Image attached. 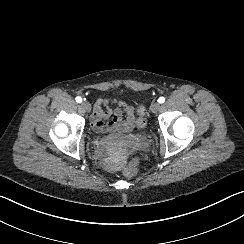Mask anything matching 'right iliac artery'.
<instances>
[{"label":"right iliac artery","mask_w":244,"mask_h":244,"mask_svg":"<svg viewBox=\"0 0 244 244\" xmlns=\"http://www.w3.org/2000/svg\"><path fill=\"white\" fill-rule=\"evenodd\" d=\"M76 102H78V103H81L82 102V98L81 97H76Z\"/></svg>","instance_id":"1"}]
</instances>
